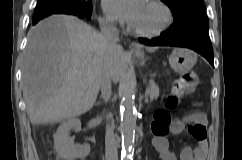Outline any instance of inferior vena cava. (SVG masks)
<instances>
[{"mask_svg":"<svg viewBox=\"0 0 242 160\" xmlns=\"http://www.w3.org/2000/svg\"><path fill=\"white\" fill-rule=\"evenodd\" d=\"M102 36L108 47L118 46L119 32L117 27L112 23H104L100 26ZM120 50H111L109 60L107 61V68H103V72L99 79L101 95L105 102L111 96V81H116L119 70L121 68L122 58L120 57ZM118 143L116 141L113 128L108 126L105 134V159L118 160Z\"/></svg>","mask_w":242,"mask_h":160,"instance_id":"1","label":"inferior vena cava"}]
</instances>
